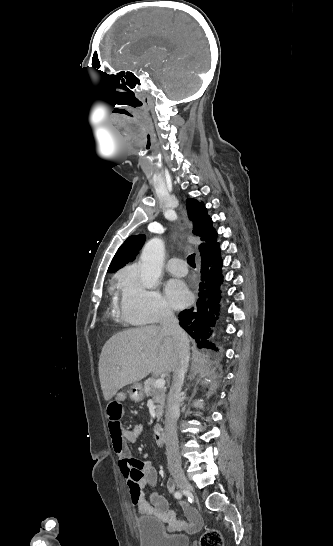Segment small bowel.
<instances>
[{
    "mask_svg": "<svg viewBox=\"0 0 333 546\" xmlns=\"http://www.w3.org/2000/svg\"><path fill=\"white\" fill-rule=\"evenodd\" d=\"M116 396L122 402L125 394L119 392ZM108 429L119 470L126 478L131 502L138 512L166 524L170 531H197L203 523L198 512L187 507L188 520L179 521L175 513L169 510L167 500L153 491L157 482V472L154 467L147 462L131 458L128 443L136 442L141 431L140 425L126 429L120 418L118 422L108 421Z\"/></svg>",
    "mask_w": 333,
    "mask_h": 546,
    "instance_id": "c3829d8e",
    "label": "small bowel"
}]
</instances>
